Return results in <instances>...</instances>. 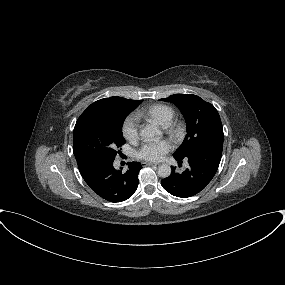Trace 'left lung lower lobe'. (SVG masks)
<instances>
[{"mask_svg":"<svg viewBox=\"0 0 285 285\" xmlns=\"http://www.w3.org/2000/svg\"><path fill=\"white\" fill-rule=\"evenodd\" d=\"M223 144L216 143L196 149L189 153L185 159L190 165L182 173L175 172L172 167V173L169 177L161 180L162 187L170 194L187 198L202 191L214 177L222 155ZM178 162L182 159L174 156Z\"/></svg>","mask_w":285,"mask_h":285,"instance_id":"obj_1","label":"left lung lower lobe"}]
</instances>
